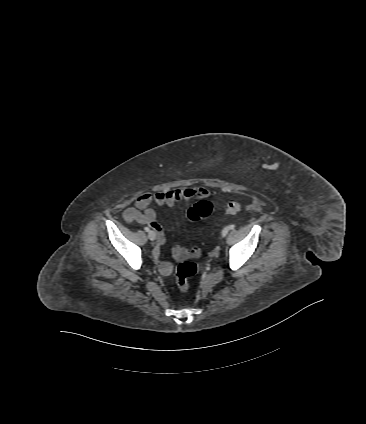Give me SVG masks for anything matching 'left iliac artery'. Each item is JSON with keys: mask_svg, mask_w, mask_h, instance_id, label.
Here are the masks:
<instances>
[{"mask_svg": "<svg viewBox=\"0 0 366 424\" xmlns=\"http://www.w3.org/2000/svg\"><path fill=\"white\" fill-rule=\"evenodd\" d=\"M235 228V225L234 224H231L230 226H229V229H234Z\"/></svg>", "mask_w": 366, "mask_h": 424, "instance_id": "obj_1", "label": "left iliac artery"}]
</instances>
